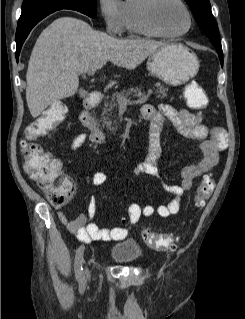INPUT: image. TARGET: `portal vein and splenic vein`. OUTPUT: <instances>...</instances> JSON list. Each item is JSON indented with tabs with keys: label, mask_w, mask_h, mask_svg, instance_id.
<instances>
[{
	"label": "portal vein and splenic vein",
	"mask_w": 245,
	"mask_h": 319,
	"mask_svg": "<svg viewBox=\"0 0 245 319\" xmlns=\"http://www.w3.org/2000/svg\"><path fill=\"white\" fill-rule=\"evenodd\" d=\"M97 69H100V68H94V69L89 70V71L87 72L88 75L94 76V74H95V72H96ZM151 94H152V90H149L146 95L142 96L141 98H139V99L136 100V101H130V100L127 99V98H120L118 102H119V105H120V106L126 107L127 105L145 102V101L149 98V96H150Z\"/></svg>",
	"instance_id": "obj_1"
}]
</instances>
